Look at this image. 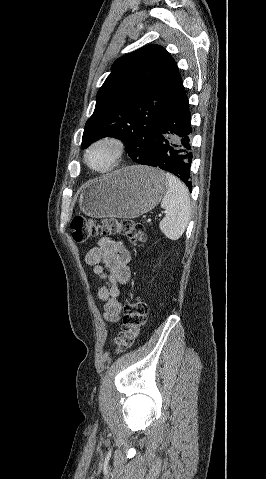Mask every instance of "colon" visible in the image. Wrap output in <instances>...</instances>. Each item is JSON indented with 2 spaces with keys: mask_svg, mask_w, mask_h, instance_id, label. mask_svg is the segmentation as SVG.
<instances>
[{
  "mask_svg": "<svg viewBox=\"0 0 266 479\" xmlns=\"http://www.w3.org/2000/svg\"><path fill=\"white\" fill-rule=\"evenodd\" d=\"M73 240L85 243L97 236L120 234L132 244L141 243L145 239V228L140 222L132 219H87L76 216L71 221ZM147 304L141 298L126 300L123 308V323L121 331L113 340L116 351L130 348L141 334L147 319Z\"/></svg>",
  "mask_w": 266,
  "mask_h": 479,
  "instance_id": "colon-1",
  "label": "colon"
}]
</instances>
